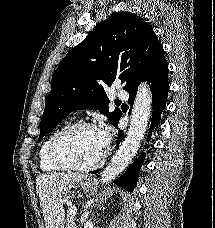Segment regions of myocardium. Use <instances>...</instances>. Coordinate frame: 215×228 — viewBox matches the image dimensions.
Wrapping results in <instances>:
<instances>
[{"instance_id": "1", "label": "myocardium", "mask_w": 215, "mask_h": 228, "mask_svg": "<svg viewBox=\"0 0 215 228\" xmlns=\"http://www.w3.org/2000/svg\"><path fill=\"white\" fill-rule=\"evenodd\" d=\"M81 129L98 130L94 124L85 122V121L74 122L65 126L63 129H61L53 137V139L49 144L48 158L52 165H54L55 167L61 170L89 172L99 168L105 162V159L108 154V148H105L103 154L100 156V158L97 161L88 165H83V166L73 165V164L67 163L61 158L59 154L61 143L64 141L66 137Z\"/></svg>"}]
</instances>
